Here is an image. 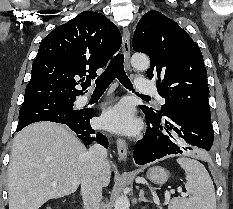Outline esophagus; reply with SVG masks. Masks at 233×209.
Returning a JSON list of instances; mask_svg holds the SVG:
<instances>
[{
    "instance_id": "34e87169",
    "label": "esophagus",
    "mask_w": 233,
    "mask_h": 209,
    "mask_svg": "<svg viewBox=\"0 0 233 209\" xmlns=\"http://www.w3.org/2000/svg\"><path fill=\"white\" fill-rule=\"evenodd\" d=\"M122 50L125 57V66L128 70H130V33L128 29H124L123 31V42H122ZM117 150L119 159L121 161H125L128 155V145L124 139L118 138L116 140Z\"/></svg>"
}]
</instances>
